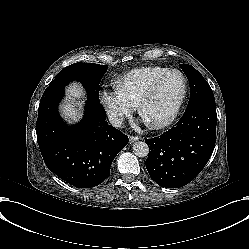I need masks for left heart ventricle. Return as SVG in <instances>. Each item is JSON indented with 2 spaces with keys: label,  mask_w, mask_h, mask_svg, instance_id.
Listing matches in <instances>:
<instances>
[{
  "label": "left heart ventricle",
  "mask_w": 249,
  "mask_h": 249,
  "mask_svg": "<svg viewBox=\"0 0 249 249\" xmlns=\"http://www.w3.org/2000/svg\"><path fill=\"white\" fill-rule=\"evenodd\" d=\"M182 85L177 76L171 77L169 82L162 87L155 98L144 108V116L153 122L166 120L175 108L180 97Z\"/></svg>",
  "instance_id": "b2bd125f"
}]
</instances>
